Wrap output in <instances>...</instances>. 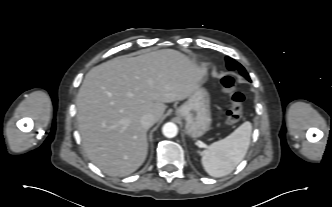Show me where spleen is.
I'll list each match as a JSON object with an SVG mask.
<instances>
[{
  "label": "spleen",
  "mask_w": 332,
  "mask_h": 207,
  "mask_svg": "<svg viewBox=\"0 0 332 207\" xmlns=\"http://www.w3.org/2000/svg\"><path fill=\"white\" fill-rule=\"evenodd\" d=\"M251 133L252 125L246 121L224 139L199 152L205 171L213 177H223L231 173L246 155Z\"/></svg>",
  "instance_id": "spleen-1"
}]
</instances>
